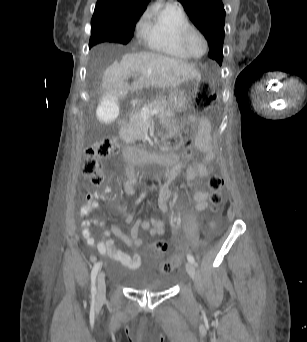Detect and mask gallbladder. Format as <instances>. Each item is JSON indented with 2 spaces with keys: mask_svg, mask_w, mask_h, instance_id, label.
Masks as SVG:
<instances>
[{
  "mask_svg": "<svg viewBox=\"0 0 307 342\" xmlns=\"http://www.w3.org/2000/svg\"><path fill=\"white\" fill-rule=\"evenodd\" d=\"M122 99L121 95H103L101 103L95 109L96 114H99L98 122L115 123Z\"/></svg>",
  "mask_w": 307,
  "mask_h": 342,
  "instance_id": "gallbladder-1",
  "label": "gallbladder"
}]
</instances>
